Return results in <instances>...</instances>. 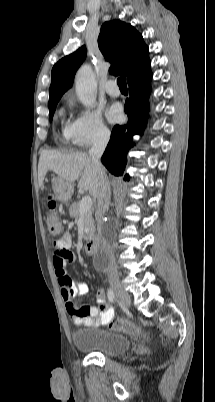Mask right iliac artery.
<instances>
[{"instance_id": "right-iliac-artery-1", "label": "right iliac artery", "mask_w": 215, "mask_h": 402, "mask_svg": "<svg viewBox=\"0 0 215 402\" xmlns=\"http://www.w3.org/2000/svg\"><path fill=\"white\" fill-rule=\"evenodd\" d=\"M107 295H108V299H109L110 302L114 303L116 301V297H115V294L113 292V289L110 288L108 290Z\"/></svg>"}]
</instances>
